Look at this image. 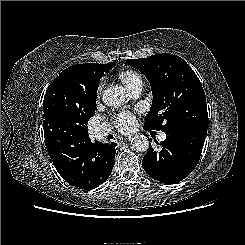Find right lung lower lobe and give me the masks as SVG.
Segmentation results:
<instances>
[{"label":"right lung lower lobe","instance_id":"98d812e1","mask_svg":"<svg viewBox=\"0 0 245 245\" xmlns=\"http://www.w3.org/2000/svg\"><path fill=\"white\" fill-rule=\"evenodd\" d=\"M51 160L70 185L91 190L102 184L114 166L116 143H92L89 135L75 141L45 140Z\"/></svg>","mask_w":245,"mask_h":245}]
</instances>
